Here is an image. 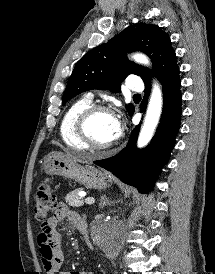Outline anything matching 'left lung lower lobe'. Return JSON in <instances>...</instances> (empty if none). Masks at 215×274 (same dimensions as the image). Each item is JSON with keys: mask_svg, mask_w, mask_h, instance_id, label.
Wrapping results in <instances>:
<instances>
[{"mask_svg": "<svg viewBox=\"0 0 215 274\" xmlns=\"http://www.w3.org/2000/svg\"><path fill=\"white\" fill-rule=\"evenodd\" d=\"M160 82L164 99L163 110L152 142L144 149L136 148L138 125L133 129L128 145L120 153L107 159L94 161L96 165L111 171L121 181L136 187L141 193H148L153 187L156 177L170 157L180 127L179 67L171 69L160 78ZM145 87L144 99L140 105L141 112L145 111L146 100L151 89L150 82L146 83Z\"/></svg>", "mask_w": 215, "mask_h": 274, "instance_id": "left-lung-lower-lobe-1", "label": "left lung lower lobe"}]
</instances>
